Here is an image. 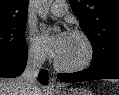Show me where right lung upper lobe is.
Masks as SVG:
<instances>
[{
	"mask_svg": "<svg viewBox=\"0 0 119 95\" xmlns=\"http://www.w3.org/2000/svg\"><path fill=\"white\" fill-rule=\"evenodd\" d=\"M28 0H0V25L26 21Z\"/></svg>",
	"mask_w": 119,
	"mask_h": 95,
	"instance_id": "right-lung-upper-lobe-1",
	"label": "right lung upper lobe"
}]
</instances>
